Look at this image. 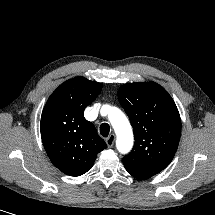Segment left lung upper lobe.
<instances>
[{"label": "left lung upper lobe", "instance_id": "obj_1", "mask_svg": "<svg viewBox=\"0 0 215 215\" xmlns=\"http://www.w3.org/2000/svg\"><path fill=\"white\" fill-rule=\"evenodd\" d=\"M118 99L134 129L135 144L122 161L135 178L148 179L172 161L181 135L178 109L168 92L155 82L127 83Z\"/></svg>", "mask_w": 215, "mask_h": 215}]
</instances>
